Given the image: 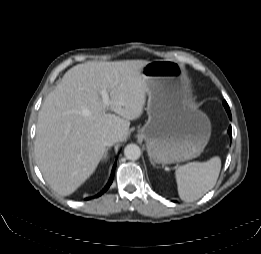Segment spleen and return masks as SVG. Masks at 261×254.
Instances as JSON below:
<instances>
[{
	"mask_svg": "<svg viewBox=\"0 0 261 254\" xmlns=\"http://www.w3.org/2000/svg\"><path fill=\"white\" fill-rule=\"evenodd\" d=\"M221 170V160L213 157L206 162H190L176 172L178 194L181 200L193 202L210 191L216 184Z\"/></svg>",
	"mask_w": 261,
	"mask_h": 254,
	"instance_id": "obj_1",
	"label": "spleen"
}]
</instances>
